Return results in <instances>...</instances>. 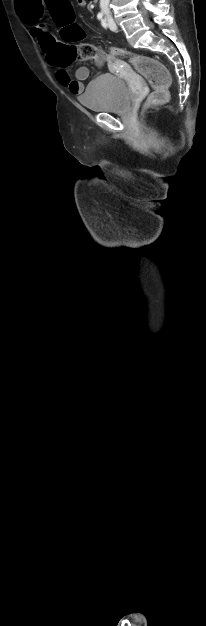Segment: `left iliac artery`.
Wrapping results in <instances>:
<instances>
[{
  "instance_id": "left-iliac-artery-1",
  "label": "left iliac artery",
  "mask_w": 206,
  "mask_h": 626,
  "mask_svg": "<svg viewBox=\"0 0 206 626\" xmlns=\"http://www.w3.org/2000/svg\"><path fill=\"white\" fill-rule=\"evenodd\" d=\"M102 26H103V27H106V26H107V24H106L105 20H102Z\"/></svg>"
}]
</instances>
